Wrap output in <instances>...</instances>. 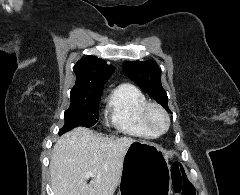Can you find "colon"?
<instances>
[{"mask_svg":"<svg viewBox=\"0 0 240 195\" xmlns=\"http://www.w3.org/2000/svg\"><path fill=\"white\" fill-rule=\"evenodd\" d=\"M174 173L181 178L182 186H176L177 195H195V189L191 181L188 179L182 167L175 168Z\"/></svg>","mask_w":240,"mask_h":195,"instance_id":"5ec220e1","label":"colon"}]
</instances>
